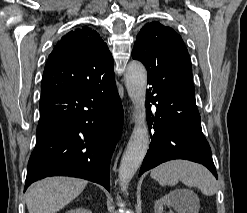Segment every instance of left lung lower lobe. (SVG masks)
<instances>
[{"label": "left lung lower lobe", "instance_id": "left-lung-lower-lobe-1", "mask_svg": "<svg viewBox=\"0 0 247 213\" xmlns=\"http://www.w3.org/2000/svg\"><path fill=\"white\" fill-rule=\"evenodd\" d=\"M147 122L150 145L139 176L157 165L185 159L206 166L218 178L210 146L202 133L192 78L180 70L148 74ZM156 112H151V104Z\"/></svg>", "mask_w": 247, "mask_h": 213}]
</instances>
